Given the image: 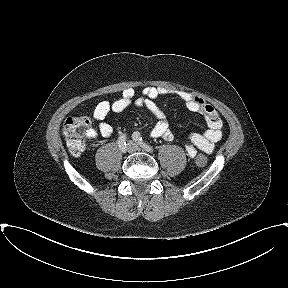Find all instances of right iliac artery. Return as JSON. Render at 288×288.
I'll list each match as a JSON object with an SVG mask.
<instances>
[{"mask_svg":"<svg viewBox=\"0 0 288 288\" xmlns=\"http://www.w3.org/2000/svg\"><path fill=\"white\" fill-rule=\"evenodd\" d=\"M117 142L119 148L123 151L126 147V135L125 134L120 135Z\"/></svg>","mask_w":288,"mask_h":288,"instance_id":"1","label":"right iliac artery"}]
</instances>
